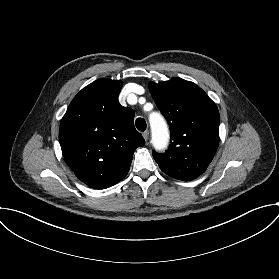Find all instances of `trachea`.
Segmentation results:
<instances>
[{
	"label": "trachea",
	"mask_w": 279,
	"mask_h": 279,
	"mask_svg": "<svg viewBox=\"0 0 279 279\" xmlns=\"http://www.w3.org/2000/svg\"><path fill=\"white\" fill-rule=\"evenodd\" d=\"M135 124L139 131H142V132L145 131L146 121L143 118H137Z\"/></svg>",
	"instance_id": "3493384b"
}]
</instances>
